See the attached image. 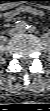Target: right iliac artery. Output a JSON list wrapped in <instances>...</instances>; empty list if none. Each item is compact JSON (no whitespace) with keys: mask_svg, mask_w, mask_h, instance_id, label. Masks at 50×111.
Returning <instances> with one entry per match:
<instances>
[{"mask_svg":"<svg viewBox=\"0 0 50 111\" xmlns=\"http://www.w3.org/2000/svg\"><path fill=\"white\" fill-rule=\"evenodd\" d=\"M15 26L19 29H26L27 28V24L24 21H17L15 23Z\"/></svg>","mask_w":50,"mask_h":111,"instance_id":"right-iliac-artery-1","label":"right iliac artery"}]
</instances>
